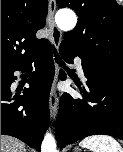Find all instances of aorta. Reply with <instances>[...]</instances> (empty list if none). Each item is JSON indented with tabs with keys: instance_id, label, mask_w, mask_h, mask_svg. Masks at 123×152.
<instances>
[{
	"instance_id": "obj_1",
	"label": "aorta",
	"mask_w": 123,
	"mask_h": 152,
	"mask_svg": "<svg viewBox=\"0 0 123 152\" xmlns=\"http://www.w3.org/2000/svg\"><path fill=\"white\" fill-rule=\"evenodd\" d=\"M55 19L58 27L63 31L72 30L77 23V17L75 13L71 10H60L56 14ZM41 151L57 152L55 139L50 133H47L45 135L41 145Z\"/></svg>"
}]
</instances>
